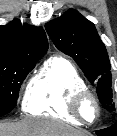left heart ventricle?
I'll list each match as a JSON object with an SVG mask.
<instances>
[{
  "label": "left heart ventricle",
  "mask_w": 117,
  "mask_h": 136,
  "mask_svg": "<svg viewBox=\"0 0 117 136\" xmlns=\"http://www.w3.org/2000/svg\"><path fill=\"white\" fill-rule=\"evenodd\" d=\"M82 111L84 113V116L88 119V120H92L95 117L96 111H95V107L91 102H86L83 105Z\"/></svg>",
  "instance_id": "1"
}]
</instances>
